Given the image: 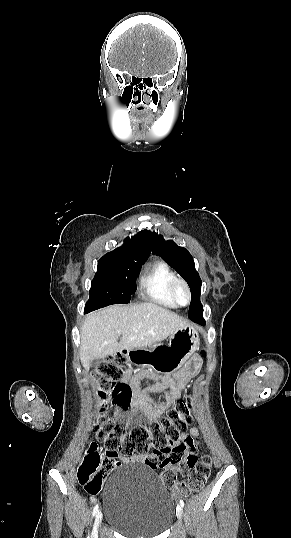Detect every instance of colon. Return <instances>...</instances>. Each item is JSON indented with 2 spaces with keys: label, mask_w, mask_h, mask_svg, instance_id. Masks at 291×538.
<instances>
[{
  "label": "colon",
  "mask_w": 291,
  "mask_h": 538,
  "mask_svg": "<svg viewBox=\"0 0 291 538\" xmlns=\"http://www.w3.org/2000/svg\"><path fill=\"white\" fill-rule=\"evenodd\" d=\"M128 358L125 353L109 356L96 370L99 382L100 416L95 423L97 439L104 444L105 451L91 443L83 461L77 469L79 484L88 493H97L105 478L119 465V456L143 455L154 448L148 463L159 467L163 483L176 495L187 496L200 490L211 471V459L203 456L200 460L184 443H180L183 432L191 417L192 398L188 395L178 398L166 414L153 419L147 426L137 425L126 431L121 425L106 417L107 402L122 409L131 403L130 387L122 382ZM186 465L191 470L186 479H180L177 467Z\"/></svg>",
  "instance_id": "5ec220e1"
}]
</instances>
